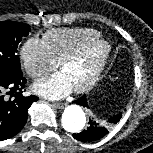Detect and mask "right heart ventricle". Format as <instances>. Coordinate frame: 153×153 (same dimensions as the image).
<instances>
[{"label":"right heart ventricle","mask_w":153,"mask_h":153,"mask_svg":"<svg viewBox=\"0 0 153 153\" xmlns=\"http://www.w3.org/2000/svg\"><path fill=\"white\" fill-rule=\"evenodd\" d=\"M100 37V33L92 28L53 29L43 38L49 52L57 63L79 49L88 41Z\"/></svg>","instance_id":"right-heart-ventricle-1"}]
</instances>
